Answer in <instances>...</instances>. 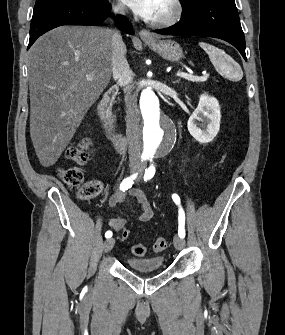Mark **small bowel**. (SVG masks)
Listing matches in <instances>:
<instances>
[{"instance_id":"small-bowel-1","label":"small bowel","mask_w":285,"mask_h":335,"mask_svg":"<svg viewBox=\"0 0 285 335\" xmlns=\"http://www.w3.org/2000/svg\"><path fill=\"white\" fill-rule=\"evenodd\" d=\"M127 193L118 189L110 198L109 205L112 209L117 208L123 204ZM129 195L135 198L139 203L140 212L138 220L141 222H147L152 218V208L145 195V193L138 188H134L129 192ZM126 224V219L121 216H115L109 220V226L114 231H120Z\"/></svg>"}]
</instances>
